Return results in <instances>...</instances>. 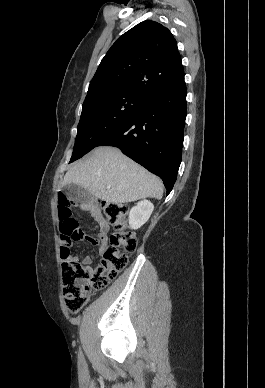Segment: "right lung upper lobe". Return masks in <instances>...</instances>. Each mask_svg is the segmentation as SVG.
Returning a JSON list of instances; mask_svg holds the SVG:
<instances>
[{
    "label": "right lung upper lobe",
    "mask_w": 265,
    "mask_h": 388,
    "mask_svg": "<svg viewBox=\"0 0 265 388\" xmlns=\"http://www.w3.org/2000/svg\"><path fill=\"white\" fill-rule=\"evenodd\" d=\"M184 78L176 40L161 24L146 20L120 36L102 59L88 95L123 91L145 96Z\"/></svg>",
    "instance_id": "right-lung-upper-lobe-1"
}]
</instances>
